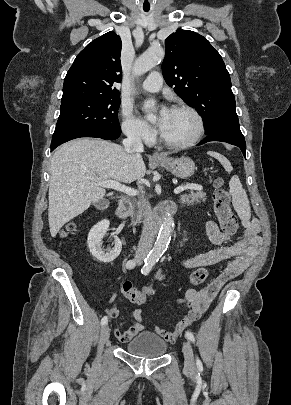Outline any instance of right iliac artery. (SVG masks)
<instances>
[{"mask_svg": "<svg viewBox=\"0 0 291 405\" xmlns=\"http://www.w3.org/2000/svg\"><path fill=\"white\" fill-rule=\"evenodd\" d=\"M135 266H136V262H135L134 260H129V261L126 263L127 269H133ZM107 322H108V317H107V316H104V317L101 319V325H105V324H107Z\"/></svg>", "mask_w": 291, "mask_h": 405, "instance_id": "1", "label": "right iliac artery"}]
</instances>
